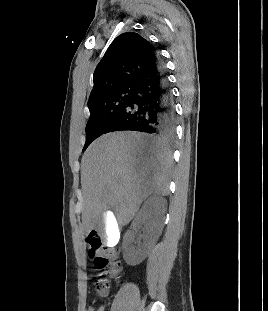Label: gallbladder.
Listing matches in <instances>:
<instances>
[{
  "label": "gallbladder",
  "instance_id": "1",
  "mask_svg": "<svg viewBox=\"0 0 268 311\" xmlns=\"http://www.w3.org/2000/svg\"><path fill=\"white\" fill-rule=\"evenodd\" d=\"M113 214V209H104L101 219L98 220L102 246H117L118 239L121 238L120 229L117 227Z\"/></svg>",
  "mask_w": 268,
  "mask_h": 311
}]
</instances>
